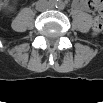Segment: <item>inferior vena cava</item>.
<instances>
[{
  "mask_svg": "<svg viewBox=\"0 0 103 103\" xmlns=\"http://www.w3.org/2000/svg\"><path fill=\"white\" fill-rule=\"evenodd\" d=\"M36 7L39 11H44L49 7V4L46 1H38Z\"/></svg>",
  "mask_w": 103,
  "mask_h": 103,
  "instance_id": "602c4592",
  "label": "inferior vena cava"
}]
</instances>
